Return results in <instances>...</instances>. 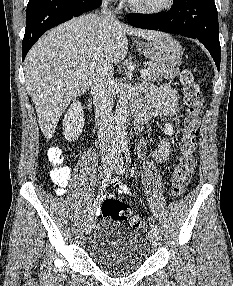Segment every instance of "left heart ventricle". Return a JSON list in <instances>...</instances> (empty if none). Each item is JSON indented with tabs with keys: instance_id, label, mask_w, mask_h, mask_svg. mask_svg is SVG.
Instances as JSON below:
<instances>
[{
	"instance_id": "obj_1",
	"label": "left heart ventricle",
	"mask_w": 233,
	"mask_h": 286,
	"mask_svg": "<svg viewBox=\"0 0 233 286\" xmlns=\"http://www.w3.org/2000/svg\"><path fill=\"white\" fill-rule=\"evenodd\" d=\"M134 4L145 7V8H155L162 6L165 0H131Z\"/></svg>"
}]
</instances>
